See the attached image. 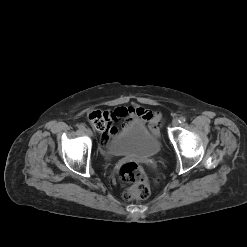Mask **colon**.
<instances>
[{
	"mask_svg": "<svg viewBox=\"0 0 247 247\" xmlns=\"http://www.w3.org/2000/svg\"><path fill=\"white\" fill-rule=\"evenodd\" d=\"M92 126L99 131H106L108 120L101 111L92 112L89 115ZM119 176L122 181L130 183L131 187L124 191L123 198L132 200L135 198L146 199L150 194V186L147 176L140 165L135 162H125L119 167Z\"/></svg>",
	"mask_w": 247,
	"mask_h": 247,
	"instance_id": "1",
	"label": "colon"
}]
</instances>
